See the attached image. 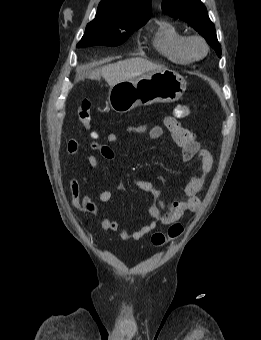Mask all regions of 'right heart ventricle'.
Here are the masks:
<instances>
[{
  "instance_id": "right-heart-ventricle-1",
  "label": "right heart ventricle",
  "mask_w": 261,
  "mask_h": 340,
  "mask_svg": "<svg viewBox=\"0 0 261 340\" xmlns=\"http://www.w3.org/2000/svg\"><path fill=\"white\" fill-rule=\"evenodd\" d=\"M188 36L171 22L161 23L154 35L153 45L165 58L177 64H189L193 60L186 49Z\"/></svg>"
}]
</instances>
